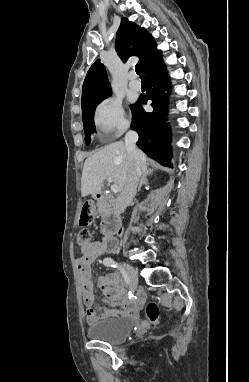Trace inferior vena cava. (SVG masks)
I'll return each instance as SVG.
<instances>
[{
	"mask_svg": "<svg viewBox=\"0 0 249 382\" xmlns=\"http://www.w3.org/2000/svg\"><path fill=\"white\" fill-rule=\"evenodd\" d=\"M138 134L135 131L129 130L125 135V146L129 153L131 164L125 180V184L120 194L117 197L116 208L119 212H124L127 206L132 202L136 195L139 178L141 176L138 164V151L136 142Z\"/></svg>",
	"mask_w": 249,
	"mask_h": 382,
	"instance_id": "obj_1",
	"label": "inferior vena cava"
}]
</instances>
